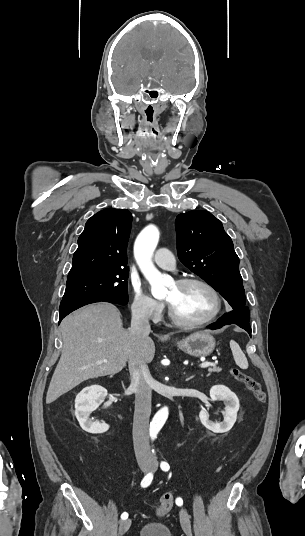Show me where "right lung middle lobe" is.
<instances>
[{
    "label": "right lung middle lobe",
    "mask_w": 305,
    "mask_h": 536,
    "mask_svg": "<svg viewBox=\"0 0 305 536\" xmlns=\"http://www.w3.org/2000/svg\"><path fill=\"white\" fill-rule=\"evenodd\" d=\"M129 270L92 272L70 277L62 301L94 299L125 305L128 303Z\"/></svg>",
    "instance_id": "right-lung-middle-lobe-1"
}]
</instances>
